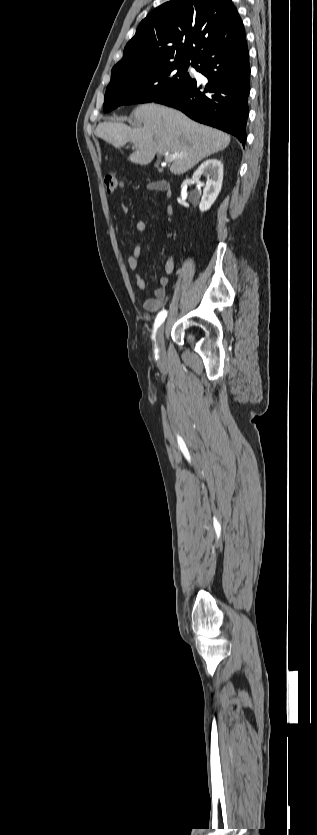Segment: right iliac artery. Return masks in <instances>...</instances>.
Segmentation results:
<instances>
[{
  "mask_svg": "<svg viewBox=\"0 0 317 835\" xmlns=\"http://www.w3.org/2000/svg\"><path fill=\"white\" fill-rule=\"evenodd\" d=\"M166 316H167V311L164 310V309L158 313V315L156 317V320H155V323H154V332L162 324V322L165 320ZM153 338H154V335H153ZM157 351H158V349H156V352Z\"/></svg>",
  "mask_w": 317,
  "mask_h": 835,
  "instance_id": "obj_1",
  "label": "right iliac artery"
}]
</instances>
